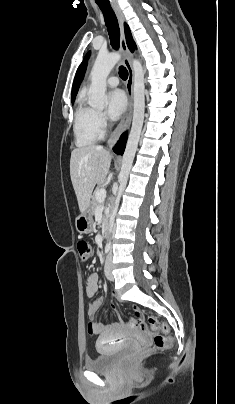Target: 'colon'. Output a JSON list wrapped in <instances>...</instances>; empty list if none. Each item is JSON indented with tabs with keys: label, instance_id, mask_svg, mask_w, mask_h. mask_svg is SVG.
<instances>
[{
	"label": "colon",
	"instance_id": "obj_1",
	"mask_svg": "<svg viewBox=\"0 0 235 404\" xmlns=\"http://www.w3.org/2000/svg\"><path fill=\"white\" fill-rule=\"evenodd\" d=\"M77 249L82 260H88L92 255V248L90 244L84 240H81L77 244ZM134 312L137 316H139V310L134 309ZM146 325L149 330L154 333V346L159 350H167L172 345V340L169 336L161 335L158 331L167 332L168 327L165 323L161 322L155 316H149L146 322L138 317L137 319L132 320V326L137 328L138 330H145Z\"/></svg>",
	"mask_w": 235,
	"mask_h": 404
}]
</instances>
